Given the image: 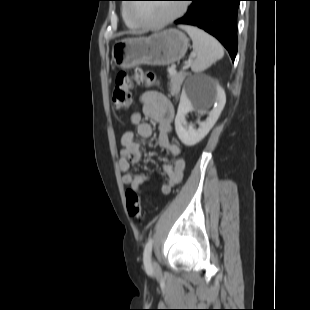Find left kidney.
Returning <instances> with one entry per match:
<instances>
[{
	"instance_id": "left-kidney-1",
	"label": "left kidney",
	"mask_w": 310,
	"mask_h": 310,
	"mask_svg": "<svg viewBox=\"0 0 310 310\" xmlns=\"http://www.w3.org/2000/svg\"><path fill=\"white\" fill-rule=\"evenodd\" d=\"M211 89L210 80L199 82L192 90L182 92L180 103L178 106L177 115L175 118V130L178 138L186 146H194L199 143L212 129L217 122L226 102L224 90L215 86L217 105L209 112V116L205 122L199 124V128L195 129L192 125H188L186 115L195 108L199 113L206 112L202 104H193L192 100L197 96L199 98L205 97Z\"/></svg>"
}]
</instances>
